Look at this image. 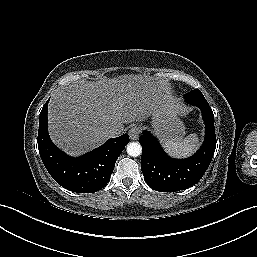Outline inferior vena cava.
<instances>
[{"label": "inferior vena cava", "mask_w": 257, "mask_h": 257, "mask_svg": "<svg viewBox=\"0 0 257 257\" xmlns=\"http://www.w3.org/2000/svg\"><path fill=\"white\" fill-rule=\"evenodd\" d=\"M118 135L117 131L116 130H109L107 131L106 133V136L108 138H113V137H116Z\"/></svg>", "instance_id": "602c4592"}]
</instances>
